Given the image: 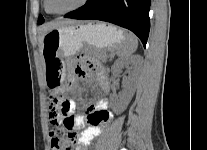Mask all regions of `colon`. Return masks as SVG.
Listing matches in <instances>:
<instances>
[{"mask_svg": "<svg viewBox=\"0 0 207 150\" xmlns=\"http://www.w3.org/2000/svg\"><path fill=\"white\" fill-rule=\"evenodd\" d=\"M66 107H71L69 99L59 94L50 96L49 121L54 128L50 131L51 150H76L78 135L72 129V120Z\"/></svg>", "mask_w": 207, "mask_h": 150, "instance_id": "colon-1", "label": "colon"}]
</instances>
